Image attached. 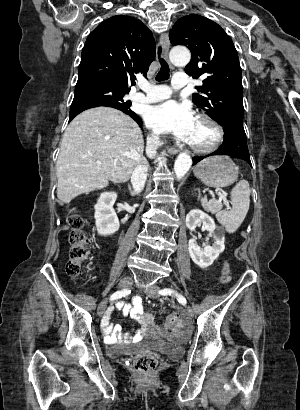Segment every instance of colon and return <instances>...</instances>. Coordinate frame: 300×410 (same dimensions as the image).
I'll use <instances>...</instances> for the list:
<instances>
[{
    "mask_svg": "<svg viewBox=\"0 0 300 410\" xmlns=\"http://www.w3.org/2000/svg\"><path fill=\"white\" fill-rule=\"evenodd\" d=\"M68 225L70 226V248L66 271L70 277L77 278L81 275L82 266L87 259L91 241L85 231L83 219L74 210L69 214ZM227 280L228 274L227 270H225L222 281L226 282ZM177 321L178 316L171 314L167 319V324L169 326L174 325ZM133 365L138 373L143 376H149L154 372L157 366V360L152 355H142L134 360Z\"/></svg>",
    "mask_w": 300,
    "mask_h": 410,
    "instance_id": "colon-1",
    "label": "colon"
}]
</instances>
